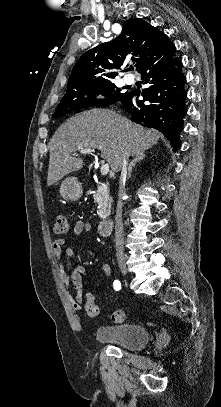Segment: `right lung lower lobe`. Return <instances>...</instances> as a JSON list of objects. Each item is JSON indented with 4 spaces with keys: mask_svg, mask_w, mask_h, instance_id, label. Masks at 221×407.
I'll use <instances>...</instances> for the list:
<instances>
[{
    "mask_svg": "<svg viewBox=\"0 0 221 407\" xmlns=\"http://www.w3.org/2000/svg\"><path fill=\"white\" fill-rule=\"evenodd\" d=\"M149 87L141 94L133 90L120 100L135 123L161 131L178 148L181 145L179 135L183 127V118L187 112L186 77L182 72V63L176 57V48L170 43L165 52L147 64L139 72Z\"/></svg>",
    "mask_w": 221,
    "mask_h": 407,
    "instance_id": "98d812e1",
    "label": "right lung lower lobe"
}]
</instances>
